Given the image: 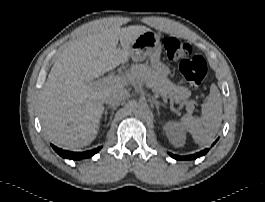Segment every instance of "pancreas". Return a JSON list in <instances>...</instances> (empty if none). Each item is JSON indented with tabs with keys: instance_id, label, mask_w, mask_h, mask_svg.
<instances>
[{
	"instance_id": "pancreas-1",
	"label": "pancreas",
	"mask_w": 265,
	"mask_h": 202,
	"mask_svg": "<svg viewBox=\"0 0 265 202\" xmlns=\"http://www.w3.org/2000/svg\"><path fill=\"white\" fill-rule=\"evenodd\" d=\"M130 76L137 82L147 83L156 94L163 97H170L183 104L187 103L186 99L191 95L190 90L185 87L175 86L165 76L155 71L147 64L132 66ZM189 108L192 111L194 106Z\"/></svg>"
}]
</instances>
